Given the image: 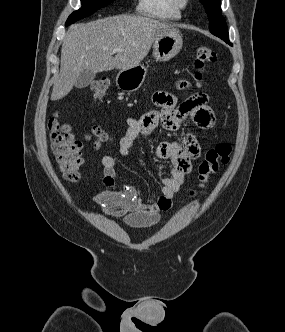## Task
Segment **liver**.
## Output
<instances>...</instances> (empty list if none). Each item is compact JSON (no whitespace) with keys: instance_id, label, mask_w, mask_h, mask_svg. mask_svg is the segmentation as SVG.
I'll list each match as a JSON object with an SVG mask.
<instances>
[{"instance_id":"obj_1","label":"liver","mask_w":285,"mask_h":332,"mask_svg":"<svg viewBox=\"0 0 285 332\" xmlns=\"http://www.w3.org/2000/svg\"><path fill=\"white\" fill-rule=\"evenodd\" d=\"M171 29L170 24L130 15L72 25L62 44L60 73L54 82L51 100L68 95L84 70L97 73L139 65L155 40ZM115 48L123 51L113 57L110 50Z\"/></svg>"}]
</instances>
